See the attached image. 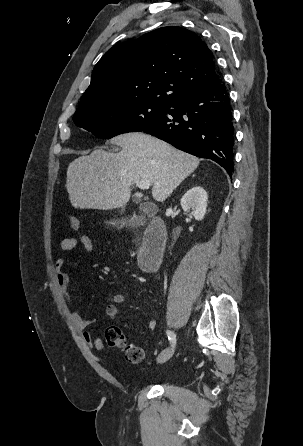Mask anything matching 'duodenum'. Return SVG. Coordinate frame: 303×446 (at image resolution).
I'll use <instances>...</instances> for the list:
<instances>
[{"label":"duodenum","instance_id":"1","mask_svg":"<svg viewBox=\"0 0 303 446\" xmlns=\"http://www.w3.org/2000/svg\"><path fill=\"white\" fill-rule=\"evenodd\" d=\"M166 228L159 217L146 226L138 253V265L145 271L155 270L163 257L166 246Z\"/></svg>","mask_w":303,"mask_h":446}]
</instances>
